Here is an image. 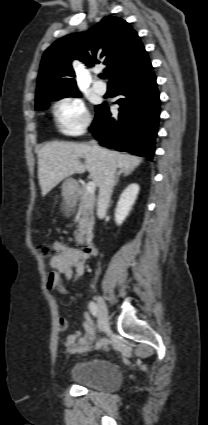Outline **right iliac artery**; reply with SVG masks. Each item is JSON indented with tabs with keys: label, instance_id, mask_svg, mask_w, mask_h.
<instances>
[{
	"label": "right iliac artery",
	"instance_id": "right-iliac-artery-1",
	"mask_svg": "<svg viewBox=\"0 0 208 425\" xmlns=\"http://www.w3.org/2000/svg\"><path fill=\"white\" fill-rule=\"evenodd\" d=\"M89 309H90L91 314L93 315V317L96 318L97 315H98V309H97V305L93 301H91L89 303Z\"/></svg>",
	"mask_w": 208,
	"mask_h": 425
}]
</instances>
